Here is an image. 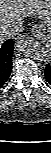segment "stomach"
<instances>
[{"label": "stomach", "instance_id": "0dacf381", "mask_svg": "<svg viewBox=\"0 0 51 153\" xmlns=\"http://www.w3.org/2000/svg\"><path fill=\"white\" fill-rule=\"evenodd\" d=\"M51 25V23H50ZM50 27V26H47ZM46 26H42L41 27V32H40V37L42 38V40H44V43L47 47H50L51 45V29L48 31H45Z\"/></svg>", "mask_w": 51, "mask_h": 153}]
</instances>
